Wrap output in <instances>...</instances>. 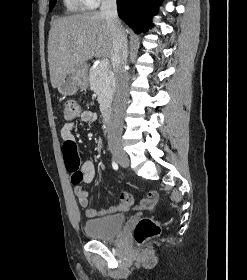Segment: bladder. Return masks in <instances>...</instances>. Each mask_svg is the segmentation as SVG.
I'll return each instance as SVG.
<instances>
[{"label": "bladder", "instance_id": "1", "mask_svg": "<svg viewBox=\"0 0 247 280\" xmlns=\"http://www.w3.org/2000/svg\"><path fill=\"white\" fill-rule=\"evenodd\" d=\"M125 221L124 215L90 219L84 223V234L94 240H113L120 235Z\"/></svg>", "mask_w": 247, "mask_h": 280}]
</instances>
